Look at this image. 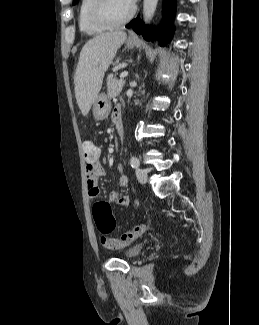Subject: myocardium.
<instances>
[{"instance_id": "obj_1", "label": "myocardium", "mask_w": 259, "mask_h": 325, "mask_svg": "<svg viewBox=\"0 0 259 325\" xmlns=\"http://www.w3.org/2000/svg\"><path fill=\"white\" fill-rule=\"evenodd\" d=\"M108 2L109 0H93L90 8V18L95 24L107 28L116 27L128 22L135 14L136 8L134 5H131L130 10L125 16L116 18L110 14Z\"/></svg>"}]
</instances>
